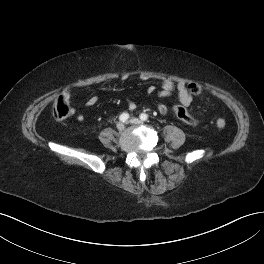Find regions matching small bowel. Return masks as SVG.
I'll return each instance as SVG.
<instances>
[{
    "label": "small bowel",
    "mask_w": 264,
    "mask_h": 264,
    "mask_svg": "<svg viewBox=\"0 0 264 264\" xmlns=\"http://www.w3.org/2000/svg\"><path fill=\"white\" fill-rule=\"evenodd\" d=\"M127 78H128V76L124 75L121 77V80L126 81ZM141 79L147 80V77L142 76ZM147 92H148V94H153L155 92V87L153 85L149 86L147 89ZM174 92L177 93V96H178L182 105L189 106L191 104L193 98H192L191 94L188 92L184 82H178L177 84H175L173 81H171L169 79L163 80L162 85H161V90L158 93V97L160 99H163V98L171 96ZM62 97L65 100L69 101L71 98V92L70 91H64L62 93ZM96 103H97V97L94 95L89 97L88 100L86 101L87 106H93ZM128 107L130 109H134L135 104L133 102L129 101ZM157 110L161 114H166L167 113V106L164 103H158ZM77 120L79 122H82L84 120V116L78 115Z\"/></svg>",
    "instance_id": "1"
}]
</instances>
